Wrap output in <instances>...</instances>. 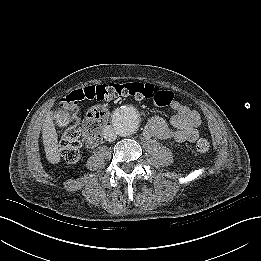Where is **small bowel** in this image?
Segmentation results:
<instances>
[{
  "instance_id": "obj_1",
  "label": "small bowel",
  "mask_w": 261,
  "mask_h": 261,
  "mask_svg": "<svg viewBox=\"0 0 261 261\" xmlns=\"http://www.w3.org/2000/svg\"><path fill=\"white\" fill-rule=\"evenodd\" d=\"M168 106L176 113L170 119L171 126L164 118L154 116L146 125L145 135L164 141L195 142L199 136L198 128L202 125L200 113L175 99Z\"/></svg>"
}]
</instances>
